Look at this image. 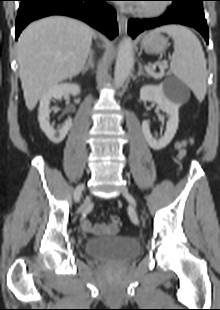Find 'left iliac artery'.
<instances>
[{
  "mask_svg": "<svg viewBox=\"0 0 220 310\" xmlns=\"http://www.w3.org/2000/svg\"><path fill=\"white\" fill-rule=\"evenodd\" d=\"M127 211H128V215H129L131 221L135 225H138L139 224V219H138V216L136 214L135 209L132 206H128Z\"/></svg>",
  "mask_w": 220,
  "mask_h": 310,
  "instance_id": "left-iliac-artery-1",
  "label": "left iliac artery"
}]
</instances>
